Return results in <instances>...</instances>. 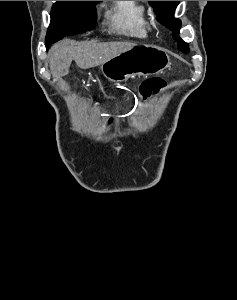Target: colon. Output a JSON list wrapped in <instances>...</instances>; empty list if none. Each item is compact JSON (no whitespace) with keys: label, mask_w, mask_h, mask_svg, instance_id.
<instances>
[{"label":"colon","mask_w":237,"mask_h":300,"mask_svg":"<svg viewBox=\"0 0 237 300\" xmlns=\"http://www.w3.org/2000/svg\"><path fill=\"white\" fill-rule=\"evenodd\" d=\"M166 83L162 78L153 77L143 81L139 87V94L142 98H148L151 95L162 91Z\"/></svg>","instance_id":"obj_1"}]
</instances>
